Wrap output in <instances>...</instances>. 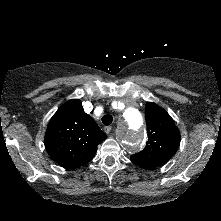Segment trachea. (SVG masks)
<instances>
[{"label":"trachea","instance_id":"3493384b","mask_svg":"<svg viewBox=\"0 0 221 221\" xmlns=\"http://www.w3.org/2000/svg\"><path fill=\"white\" fill-rule=\"evenodd\" d=\"M113 121V117L111 115H104L102 117V123L106 126L110 125Z\"/></svg>","mask_w":221,"mask_h":221}]
</instances>
